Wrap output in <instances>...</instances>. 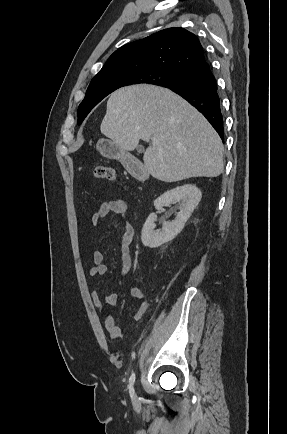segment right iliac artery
I'll return each instance as SVG.
<instances>
[{
	"label": "right iliac artery",
	"mask_w": 287,
	"mask_h": 434,
	"mask_svg": "<svg viewBox=\"0 0 287 434\" xmlns=\"http://www.w3.org/2000/svg\"><path fill=\"white\" fill-rule=\"evenodd\" d=\"M134 382H135V373H132V375L129 378V392L131 397H133L134 395V388H133Z\"/></svg>",
	"instance_id": "82829eb1"
}]
</instances>
